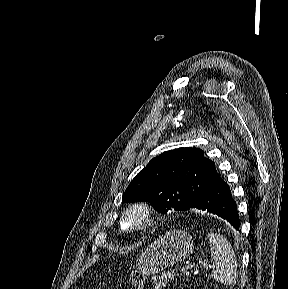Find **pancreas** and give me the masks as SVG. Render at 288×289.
Segmentation results:
<instances>
[{"instance_id":"pancreas-1","label":"pancreas","mask_w":288,"mask_h":289,"mask_svg":"<svg viewBox=\"0 0 288 289\" xmlns=\"http://www.w3.org/2000/svg\"><path fill=\"white\" fill-rule=\"evenodd\" d=\"M169 273H172V272L169 271L167 273L166 272L161 273L157 279H154L153 281L154 289H161L163 287H166L170 278L168 275Z\"/></svg>"}]
</instances>
